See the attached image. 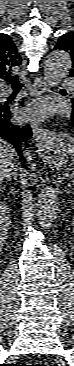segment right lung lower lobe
<instances>
[{
	"label": "right lung lower lobe",
	"mask_w": 74,
	"mask_h": 366,
	"mask_svg": "<svg viewBox=\"0 0 74 366\" xmlns=\"http://www.w3.org/2000/svg\"><path fill=\"white\" fill-rule=\"evenodd\" d=\"M12 113L6 103L0 102V138L12 143L15 147L20 160L23 161L22 167L26 168L25 160L22 154V145L32 136V130L29 125L24 127L17 126L11 122Z\"/></svg>",
	"instance_id": "1"
}]
</instances>
